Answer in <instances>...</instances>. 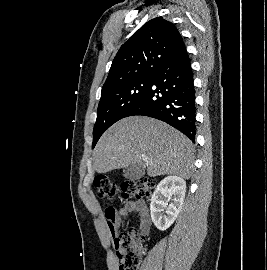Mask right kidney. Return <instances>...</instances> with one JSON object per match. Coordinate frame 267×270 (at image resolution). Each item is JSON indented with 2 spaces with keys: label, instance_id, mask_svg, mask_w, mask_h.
Wrapping results in <instances>:
<instances>
[{
  "label": "right kidney",
  "instance_id": "1",
  "mask_svg": "<svg viewBox=\"0 0 267 270\" xmlns=\"http://www.w3.org/2000/svg\"><path fill=\"white\" fill-rule=\"evenodd\" d=\"M186 182L178 176H167L157 185L150 203L151 219L157 229H168L178 217L185 198ZM172 202L168 205V201ZM164 207L167 210L164 214Z\"/></svg>",
  "mask_w": 267,
  "mask_h": 270
}]
</instances>
